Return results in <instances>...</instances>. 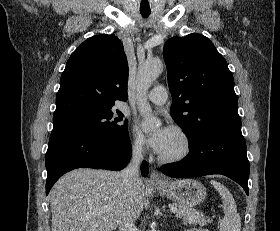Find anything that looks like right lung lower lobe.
<instances>
[{
  "label": "right lung lower lobe",
  "mask_w": 280,
  "mask_h": 231,
  "mask_svg": "<svg viewBox=\"0 0 280 231\" xmlns=\"http://www.w3.org/2000/svg\"><path fill=\"white\" fill-rule=\"evenodd\" d=\"M131 157L128 133L117 137L99 136L88 132L65 129L52 131L46 153V195L54 183L66 172L87 167L121 170ZM144 176L148 165H141Z\"/></svg>",
  "instance_id": "right-lung-lower-lobe-1"
}]
</instances>
